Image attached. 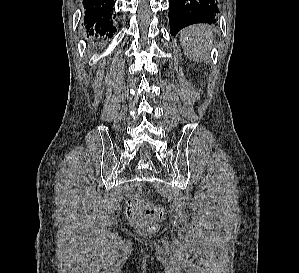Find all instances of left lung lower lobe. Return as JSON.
Returning a JSON list of instances; mask_svg holds the SVG:
<instances>
[{
    "mask_svg": "<svg viewBox=\"0 0 299 273\" xmlns=\"http://www.w3.org/2000/svg\"><path fill=\"white\" fill-rule=\"evenodd\" d=\"M218 12L216 0H169V22L171 35L195 23L216 22Z\"/></svg>",
    "mask_w": 299,
    "mask_h": 273,
    "instance_id": "obj_1",
    "label": "left lung lower lobe"
}]
</instances>
